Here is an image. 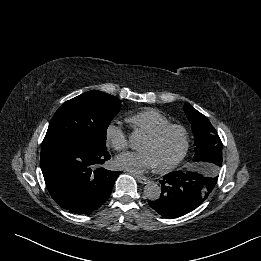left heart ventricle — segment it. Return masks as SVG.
Wrapping results in <instances>:
<instances>
[{"label":"left heart ventricle","mask_w":261,"mask_h":261,"mask_svg":"<svg viewBox=\"0 0 261 261\" xmlns=\"http://www.w3.org/2000/svg\"><path fill=\"white\" fill-rule=\"evenodd\" d=\"M182 136L178 131L169 133L159 142L149 138L141 145L142 151H149L155 158L157 166H163L173 161L182 149Z\"/></svg>","instance_id":"obj_1"}]
</instances>
